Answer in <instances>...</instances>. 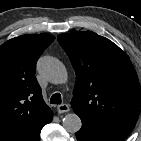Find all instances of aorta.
<instances>
[{"instance_id": "762f6f07", "label": "aorta", "mask_w": 141, "mask_h": 141, "mask_svg": "<svg viewBox=\"0 0 141 141\" xmlns=\"http://www.w3.org/2000/svg\"><path fill=\"white\" fill-rule=\"evenodd\" d=\"M37 69L53 84H64L68 80V73L64 64L55 57H41L37 63ZM62 124L64 129L69 133H76L82 126L80 117L75 113L65 115Z\"/></svg>"}]
</instances>
